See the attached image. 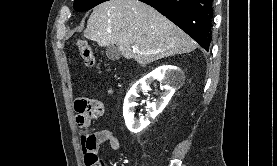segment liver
<instances>
[{
	"label": "liver",
	"mask_w": 277,
	"mask_h": 166,
	"mask_svg": "<svg viewBox=\"0 0 277 166\" xmlns=\"http://www.w3.org/2000/svg\"><path fill=\"white\" fill-rule=\"evenodd\" d=\"M84 36L101 47L116 45L140 65L196 49V42L151 6L138 0H109L91 13ZM133 47L139 52L134 53Z\"/></svg>",
	"instance_id": "liver-1"
}]
</instances>
